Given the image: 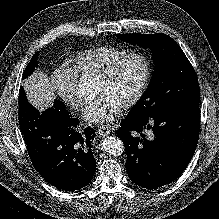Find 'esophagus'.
Instances as JSON below:
<instances>
[{"instance_id":"esophagus-1","label":"esophagus","mask_w":219,"mask_h":219,"mask_svg":"<svg viewBox=\"0 0 219 219\" xmlns=\"http://www.w3.org/2000/svg\"><path fill=\"white\" fill-rule=\"evenodd\" d=\"M96 132L99 136L104 137V136H107L110 134V128H108L106 126H100L97 128Z\"/></svg>"}]
</instances>
